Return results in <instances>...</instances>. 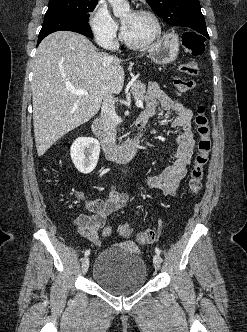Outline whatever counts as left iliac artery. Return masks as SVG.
Wrapping results in <instances>:
<instances>
[{
  "mask_svg": "<svg viewBox=\"0 0 247 332\" xmlns=\"http://www.w3.org/2000/svg\"><path fill=\"white\" fill-rule=\"evenodd\" d=\"M155 252H156V254H158V255H160V249L158 248V247H155Z\"/></svg>",
  "mask_w": 247,
  "mask_h": 332,
  "instance_id": "44dca946",
  "label": "left iliac artery"
}]
</instances>
